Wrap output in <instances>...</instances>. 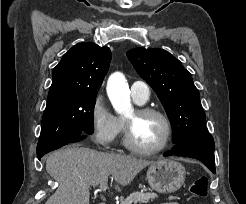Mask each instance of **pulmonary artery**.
Returning a JSON list of instances; mask_svg holds the SVG:
<instances>
[{"label":"pulmonary artery","mask_w":246,"mask_h":204,"mask_svg":"<svg viewBox=\"0 0 246 204\" xmlns=\"http://www.w3.org/2000/svg\"><path fill=\"white\" fill-rule=\"evenodd\" d=\"M131 96L136 103L143 104L149 99L150 88L143 81H135L131 85Z\"/></svg>","instance_id":"pulmonary-artery-1"}]
</instances>
